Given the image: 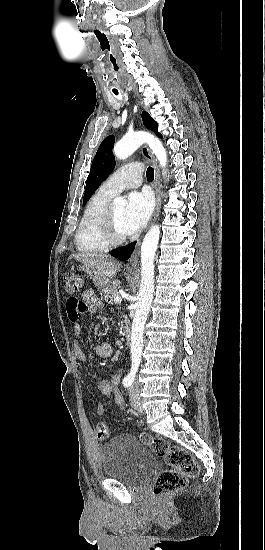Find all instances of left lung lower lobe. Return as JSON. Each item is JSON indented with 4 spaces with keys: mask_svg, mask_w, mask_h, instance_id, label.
Instances as JSON below:
<instances>
[{
    "mask_svg": "<svg viewBox=\"0 0 265 550\" xmlns=\"http://www.w3.org/2000/svg\"><path fill=\"white\" fill-rule=\"evenodd\" d=\"M135 244L136 242H133L127 246L118 248L115 251H113L111 255L119 259L127 260L130 257L132 251L134 250Z\"/></svg>",
    "mask_w": 265,
    "mask_h": 550,
    "instance_id": "left-lung-lower-lobe-1",
    "label": "left lung lower lobe"
}]
</instances>
